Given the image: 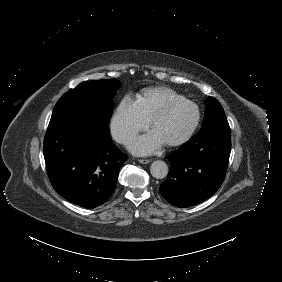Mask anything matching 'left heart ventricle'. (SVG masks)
I'll return each instance as SVG.
<instances>
[{
	"label": "left heart ventricle",
	"instance_id": "obj_1",
	"mask_svg": "<svg viewBox=\"0 0 282 282\" xmlns=\"http://www.w3.org/2000/svg\"><path fill=\"white\" fill-rule=\"evenodd\" d=\"M169 101L162 104L160 110L168 105ZM194 118V110L191 106H182L169 111L155 125L154 130L159 134L163 142L172 141L180 137L190 126Z\"/></svg>",
	"mask_w": 282,
	"mask_h": 282
}]
</instances>
